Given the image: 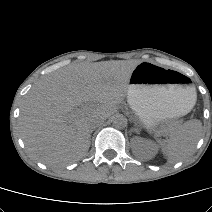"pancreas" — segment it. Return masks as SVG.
<instances>
[{"instance_id": "1", "label": "pancreas", "mask_w": 212, "mask_h": 212, "mask_svg": "<svg viewBox=\"0 0 212 212\" xmlns=\"http://www.w3.org/2000/svg\"><path fill=\"white\" fill-rule=\"evenodd\" d=\"M170 130H173V127H170Z\"/></svg>"}]
</instances>
